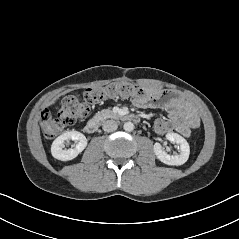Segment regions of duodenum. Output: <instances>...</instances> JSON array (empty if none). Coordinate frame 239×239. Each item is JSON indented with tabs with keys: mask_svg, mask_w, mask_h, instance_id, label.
Wrapping results in <instances>:
<instances>
[{
	"mask_svg": "<svg viewBox=\"0 0 239 239\" xmlns=\"http://www.w3.org/2000/svg\"><path fill=\"white\" fill-rule=\"evenodd\" d=\"M121 117L124 120L135 121V122L140 119L138 115L133 113H125ZM100 123H101V119L99 117H94L86 123L84 129L87 133L93 134L99 129Z\"/></svg>",
	"mask_w": 239,
	"mask_h": 239,
	"instance_id": "410a0bca",
	"label": "duodenum"
}]
</instances>
